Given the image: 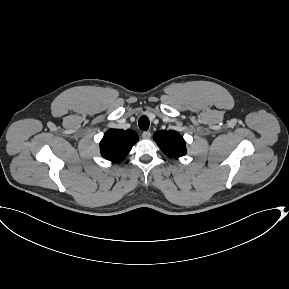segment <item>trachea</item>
Instances as JSON below:
<instances>
[{"instance_id":"1","label":"trachea","mask_w":289,"mask_h":289,"mask_svg":"<svg viewBox=\"0 0 289 289\" xmlns=\"http://www.w3.org/2000/svg\"><path fill=\"white\" fill-rule=\"evenodd\" d=\"M149 119L146 116H141L138 120V126L141 130L146 131L149 128Z\"/></svg>"}]
</instances>
